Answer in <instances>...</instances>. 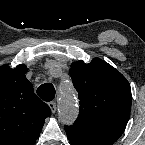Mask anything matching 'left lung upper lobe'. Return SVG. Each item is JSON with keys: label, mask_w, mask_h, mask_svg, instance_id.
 I'll use <instances>...</instances> for the list:
<instances>
[{"label": "left lung upper lobe", "mask_w": 145, "mask_h": 145, "mask_svg": "<svg viewBox=\"0 0 145 145\" xmlns=\"http://www.w3.org/2000/svg\"><path fill=\"white\" fill-rule=\"evenodd\" d=\"M70 76L80 99L75 123L126 126L131 109V88L119 71L94 58L89 64L73 62Z\"/></svg>", "instance_id": "5c2ea615"}]
</instances>
